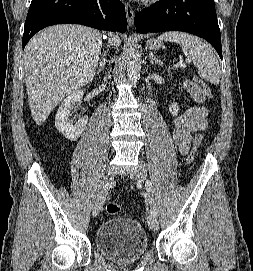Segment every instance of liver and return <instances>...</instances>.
I'll return each instance as SVG.
<instances>
[{"label": "liver", "instance_id": "6515ba94", "mask_svg": "<svg viewBox=\"0 0 253 271\" xmlns=\"http://www.w3.org/2000/svg\"><path fill=\"white\" fill-rule=\"evenodd\" d=\"M118 47V35H109ZM102 36L82 25H54L35 35L23 56L28 103L36 125H42L67 95L92 81Z\"/></svg>", "mask_w": 253, "mask_h": 271}]
</instances>
